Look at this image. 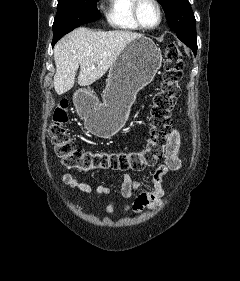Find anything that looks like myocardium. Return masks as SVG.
<instances>
[{"mask_svg":"<svg viewBox=\"0 0 240 281\" xmlns=\"http://www.w3.org/2000/svg\"><path fill=\"white\" fill-rule=\"evenodd\" d=\"M142 1L143 0H134L133 6H132L133 18H134L135 22L137 23V25L141 29H144V30H154V29L158 28L161 25V23L163 21V18H164V12H163L162 4H161V2L159 0H150L157 7V10H158V21H157V23L154 26H147V25H145L142 22L140 14H139V8H140V5H141Z\"/></svg>","mask_w":240,"mask_h":281,"instance_id":"obj_1","label":"myocardium"}]
</instances>
